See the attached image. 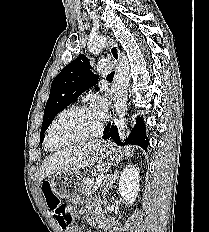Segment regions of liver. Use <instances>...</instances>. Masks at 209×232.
Returning a JSON list of instances; mask_svg holds the SVG:
<instances>
[{
	"label": "liver",
	"instance_id": "obj_1",
	"mask_svg": "<svg viewBox=\"0 0 209 232\" xmlns=\"http://www.w3.org/2000/svg\"><path fill=\"white\" fill-rule=\"evenodd\" d=\"M100 142L80 143L48 157L41 169L39 182L54 173L71 172L94 165L98 160Z\"/></svg>",
	"mask_w": 209,
	"mask_h": 232
}]
</instances>
